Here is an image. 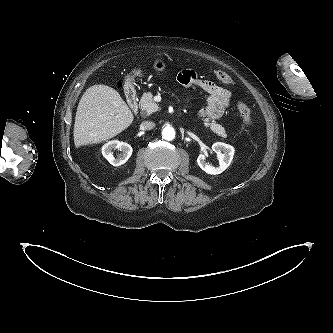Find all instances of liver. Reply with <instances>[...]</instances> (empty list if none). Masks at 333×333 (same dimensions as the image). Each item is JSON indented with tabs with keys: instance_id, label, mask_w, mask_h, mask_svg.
<instances>
[{
	"instance_id": "liver-1",
	"label": "liver",
	"mask_w": 333,
	"mask_h": 333,
	"mask_svg": "<svg viewBox=\"0 0 333 333\" xmlns=\"http://www.w3.org/2000/svg\"><path fill=\"white\" fill-rule=\"evenodd\" d=\"M134 116L120 94L99 84L89 87L77 107L74 123L76 147L115 137L133 122Z\"/></svg>"
}]
</instances>
